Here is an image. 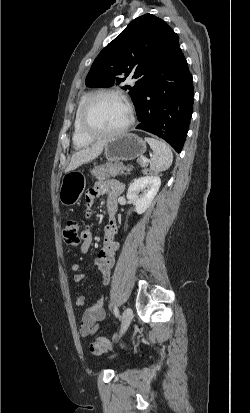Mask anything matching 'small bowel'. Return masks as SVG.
<instances>
[{"label": "small bowel", "mask_w": 250, "mask_h": 413, "mask_svg": "<svg viewBox=\"0 0 250 413\" xmlns=\"http://www.w3.org/2000/svg\"><path fill=\"white\" fill-rule=\"evenodd\" d=\"M123 191V184L118 180H107L97 183L93 188H91L86 195V210L89 213L100 196L106 198V206L108 211V223L104 227V240L103 246L100 249L97 257L92 261L90 269L88 271H83L79 264L73 263L70 265V271L73 273V280L76 283H80L86 277L89 271H97L101 277L103 284L106 286L110 280L111 270L115 263V254L120 247V243L116 240L118 236V229L115 223V213L117 208V197ZM112 211L114 216L109 217V212ZM94 232L93 229L87 226L82 231V244L80 246V251L82 254L88 252ZM86 299L84 296H79L76 299V306L79 308H84L81 324H80V334L83 337H88L94 334L98 328V325L105 318V310L103 308V298H99L95 303L85 306ZM90 351L93 354L100 355L106 351L104 349H96L89 346Z\"/></svg>", "instance_id": "c3829d8e"}]
</instances>
